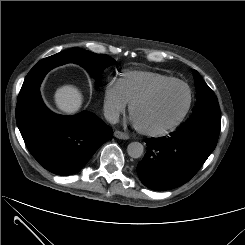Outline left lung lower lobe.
Here are the masks:
<instances>
[{
	"mask_svg": "<svg viewBox=\"0 0 245 245\" xmlns=\"http://www.w3.org/2000/svg\"><path fill=\"white\" fill-rule=\"evenodd\" d=\"M220 131L193 126L180 128L170 137L146 140L148 150L137 165L141 182L163 191L188 182L216 147Z\"/></svg>",
	"mask_w": 245,
	"mask_h": 245,
	"instance_id": "1",
	"label": "left lung lower lobe"
}]
</instances>
